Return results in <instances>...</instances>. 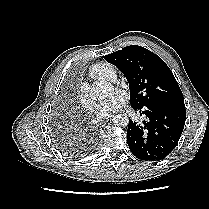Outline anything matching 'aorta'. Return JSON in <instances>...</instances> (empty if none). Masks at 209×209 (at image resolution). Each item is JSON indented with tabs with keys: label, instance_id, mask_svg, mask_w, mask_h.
Here are the masks:
<instances>
[{
	"label": "aorta",
	"instance_id": "obj_1",
	"mask_svg": "<svg viewBox=\"0 0 209 209\" xmlns=\"http://www.w3.org/2000/svg\"><path fill=\"white\" fill-rule=\"evenodd\" d=\"M112 87L103 82H99L93 85L90 89V97L93 100H103L110 96ZM113 123L118 127H126L129 123V118L126 114H117L113 117Z\"/></svg>",
	"mask_w": 209,
	"mask_h": 209
}]
</instances>
